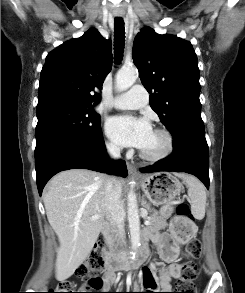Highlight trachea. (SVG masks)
<instances>
[{
	"label": "trachea",
	"mask_w": 245,
	"mask_h": 293,
	"mask_svg": "<svg viewBox=\"0 0 245 293\" xmlns=\"http://www.w3.org/2000/svg\"><path fill=\"white\" fill-rule=\"evenodd\" d=\"M125 45V27L122 18H116L114 21V53L116 63L122 60Z\"/></svg>",
	"instance_id": "3493384b"
}]
</instances>
